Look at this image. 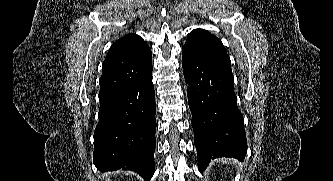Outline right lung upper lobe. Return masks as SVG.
Returning <instances> with one entry per match:
<instances>
[{
	"label": "right lung upper lobe",
	"instance_id": "1",
	"mask_svg": "<svg viewBox=\"0 0 333 181\" xmlns=\"http://www.w3.org/2000/svg\"><path fill=\"white\" fill-rule=\"evenodd\" d=\"M99 100L136 84L152 74L151 50L136 34L116 41L103 62Z\"/></svg>",
	"mask_w": 333,
	"mask_h": 181
}]
</instances>
